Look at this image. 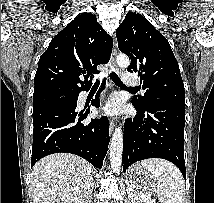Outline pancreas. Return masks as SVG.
Returning <instances> with one entry per match:
<instances>
[{
	"label": "pancreas",
	"mask_w": 214,
	"mask_h": 203,
	"mask_svg": "<svg viewBox=\"0 0 214 203\" xmlns=\"http://www.w3.org/2000/svg\"><path fill=\"white\" fill-rule=\"evenodd\" d=\"M142 193L136 191V190H132L131 192V203H155L154 201L151 200H144L141 197Z\"/></svg>",
	"instance_id": "cf45deb5"
}]
</instances>
